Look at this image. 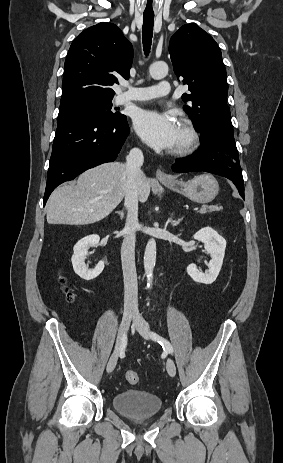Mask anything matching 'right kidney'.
<instances>
[{
  "mask_svg": "<svg viewBox=\"0 0 283 463\" xmlns=\"http://www.w3.org/2000/svg\"><path fill=\"white\" fill-rule=\"evenodd\" d=\"M99 240L98 235H89L79 240L73 248L74 254L71 258L73 269L84 280L88 281L96 278L104 269V261H100L94 269H88L85 264L88 248L97 245Z\"/></svg>",
  "mask_w": 283,
  "mask_h": 463,
  "instance_id": "1",
  "label": "right kidney"
}]
</instances>
